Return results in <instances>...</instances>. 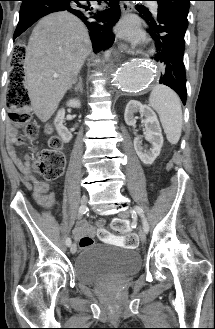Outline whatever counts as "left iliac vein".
Listing matches in <instances>:
<instances>
[{"mask_svg":"<svg viewBox=\"0 0 215 329\" xmlns=\"http://www.w3.org/2000/svg\"><path fill=\"white\" fill-rule=\"evenodd\" d=\"M130 215H131V211L130 210H127V209L122 210L119 213V216L122 217V218H127ZM139 236H140V240L142 242H145V240H146V233H145V231H144V229L142 227L139 228Z\"/></svg>","mask_w":215,"mask_h":329,"instance_id":"1","label":"left iliac vein"}]
</instances>
